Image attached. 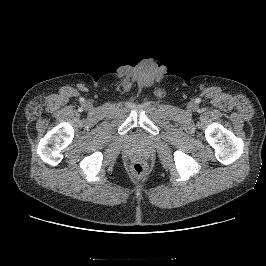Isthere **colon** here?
Segmentation results:
<instances>
[{"label":"colon","mask_w":266,"mask_h":266,"mask_svg":"<svg viewBox=\"0 0 266 266\" xmlns=\"http://www.w3.org/2000/svg\"><path fill=\"white\" fill-rule=\"evenodd\" d=\"M131 173L136 178H142L147 174V165L142 161H135L131 165Z\"/></svg>","instance_id":"colon-1"}]
</instances>
